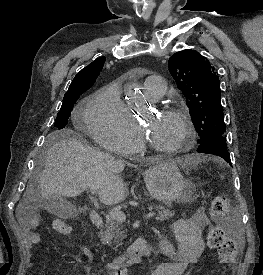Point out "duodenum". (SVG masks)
Segmentation results:
<instances>
[{"mask_svg":"<svg viewBox=\"0 0 263 275\" xmlns=\"http://www.w3.org/2000/svg\"><path fill=\"white\" fill-rule=\"evenodd\" d=\"M92 223L99 227L103 223V218L95 211L90 212ZM150 254L149 247L143 237L136 239L128 249L121 255L117 256L112 263V267L116 270L124 272L133 264L141 262V260Z\"/></svg>","mask_w":263,"mask_h":275,"instance_id":"410a0bca","label":"duodenum"}]
</instances>
